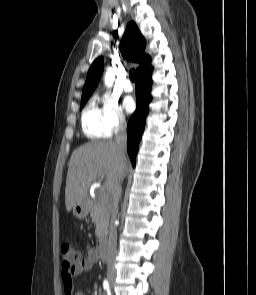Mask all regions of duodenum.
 I'll list each match as a JSON object with an SVG mask.
<instances>
[{
    "mask_svg": "<svg viewBox=\"0 0 256 295\" xmlns=\"http://www.w3.org/2000/svg\"><path fill=\"white\" fill-rule=\"evenodd\" d=\"M98 252H99L100 259L102 261H107L108 260V257H109L108 249L103 243L99 244Z\"/></svg>",
    "mask_w": 256,
    "mask_h": 295,
    "instance_id": "410a0bca",
    "label": "duodenum"
}]
</instances>
